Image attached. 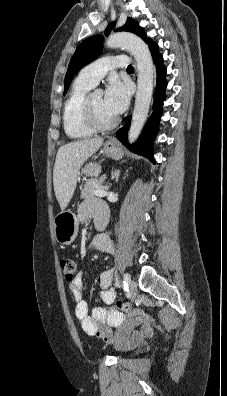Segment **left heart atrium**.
Masks as SVG:
<instances>
[{
  "instance_id": "obj_1",
  "label": "left heart atrium",
  "mask_w": 227,
  "mask_h": 396,
  "mask_svg": "<svg viewBox=\"0 0 227 396\" xmlns=\"http://www.w3.org/2000/svg\"><path fill=\"white\" fill-rule=\"evenodd\" d=\"M130 99L129 86L114 78L108 83L103 97L105 109L113 116L123 113L128 107Z\"/></svg>"
}]
</instances>
